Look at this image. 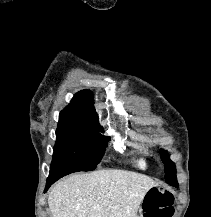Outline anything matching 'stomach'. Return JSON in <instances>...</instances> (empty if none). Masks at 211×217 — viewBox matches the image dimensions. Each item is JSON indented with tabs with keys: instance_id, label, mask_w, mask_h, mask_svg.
<instances>
[{
	"instance_id": "0dacf381",
	"label": "stomach",
	"mask_w": 211,
	"mask_h": 217,
	"mask_svg": "<svg viewBox=\"0 0 211 217\" xmlns=\"http://www.w3.org/2000/svg\"><path fill=\"white\" fill-rule=\"evenodd\" d=\"M143 214H144V213H143L142 210H141L139 216H137V217H144Z\"/></svg>"
}]
</instances>
